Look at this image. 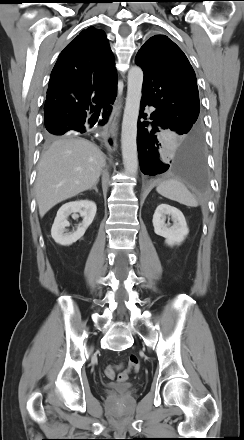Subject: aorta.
<instances>
[{
    "label": "aorta",
    "instance_id": "1",
    "mask_svg": "<svg viewBox=\"0 0 244 440\" xmlns=\"http://www.w3.org/2000/svg\"><path fill=\"white\" fill-rule=\"evenodd\" d=\"M143 71L134 66L128 72V86L122 121L121 148L124 167L129 176H136L137 157V121L142 95Z\"/></svg>",
    "mask_w": 244,
    "mask_h": 440
}]
</instances>
